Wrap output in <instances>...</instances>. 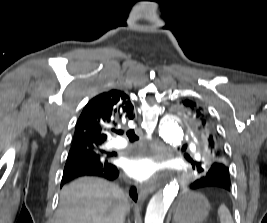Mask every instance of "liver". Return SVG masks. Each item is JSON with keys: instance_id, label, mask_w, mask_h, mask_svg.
<instances>
[{"instance_id": "liver-1", "label": "liver", "mask_w": 267, "mask_h": 223, "mask_svg": "<svg viewBox=\"0 0 267 223\" xmlns=\"http://www.w3.org/2000/svg\"><path fill=\"white\" fill-rule=\"evenodd\" d=\"M129 209L118 186L85 177L62 188L55 223H123Z\"/></svg>"}]
</instances>
